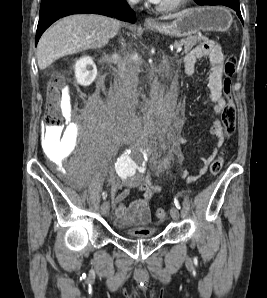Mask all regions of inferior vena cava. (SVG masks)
<instances>
[{"mask_svg":"<svg viewBox=\"0 0 267 298\" xmlns=\"http://www.w3.org/2000/svg\"><path fill=\"white\" fill-rule=\"evenodd\" d=\"M128 2L134 5L138 0H128ZM137 61V53L130 51L124 54L118 62L119 82L116 87V109L121 118H130L135 113L139 72Z\"/></svg>","mask_w":267,"mask_h":298,"instance_id":"inferior-vena-cava-1","label":"inferior vena cava"}]
</instances>
